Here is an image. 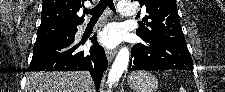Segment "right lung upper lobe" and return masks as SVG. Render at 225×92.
<instances>
[{
	"label": "right lung upper lobe",
	"mask_w": 225,
	"mask_h": 92,
	"mask_svg": "<svg viewBox=\"0 0 225 92\" xmlns=\"http://www.w3.org/2000/svg\"><path fill=\"white\" fill-rule=\"evenodd\" d=\"M85 0H43L40 26L71 25L83 23L84 15L79 17L77 12Z\"/></svg>",
	"instance_id": "right-lung-upper-lobe-1"
}]
</instances>
